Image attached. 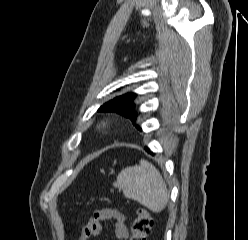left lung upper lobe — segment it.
I'll use <instances>...</instances> for the list:
<instances>
[{
  "label": "left lung upper lobe",
  "instance_id": "obj_1",
  "mask_svg": "<svg viewBox=\"0 0 248 240\" xmlns=\"http://www.w3.org/2000/svg\"><path fill=\"white\" fill-rule=\"evenodd\" d=\"M135 97V93H127L118 96L102 105L98 109V112H114L130 119L134 123L138 115L135 111V105L133 103ZM135 126L140 131L142 130L140 126Z\"/></svg>",
  "mask_w": 248,
  "mask_h": 240
}]
</instances>
